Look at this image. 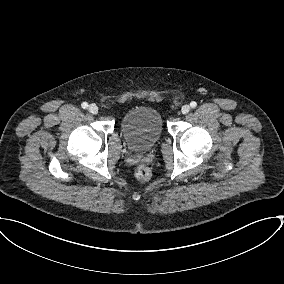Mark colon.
Instances as JSON below:
<instances>
[{"label": "colon", "instance_id": "1", "mask_svg": "<svg viewBox=\"0 0 284 284\" xmlns=\"http://www.w3.org/2000/svg\"><path fill=\"white\" fill-rule=\"evenodd\" d=\"M135 177L140 181H147L151 177V171L148 167L140 165L135 169Z\"/></svg>", "mask_w": 284, "mask_h": 284}]
</instances>
